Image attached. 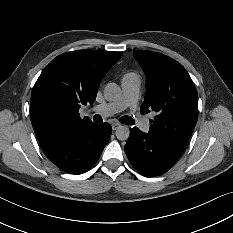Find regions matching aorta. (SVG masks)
<instances>
[{
    "instance_id": "aorta-1",
    "label": "aorta",
    "mask_w": 233,
    "mask_h": 233,
    "mask_svg": "<svg viewBox=\"0 0 233 233\" xmlns=\"http://www.w3.org/2000/svg\"><path fill=\"white\" fill-rule=\"evenodd\" d=\"M121 88L116 83H108L104 89V98L107 101H116L121 97ZM119 140H127L130 135V129L127 125H122L115 132Z\"/></svg>"
}]
</instances>
